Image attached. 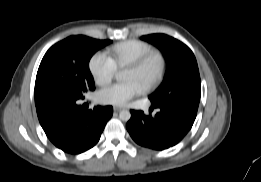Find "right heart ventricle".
<instances>
[{
    "instance_id": "right-heart-ventricle-1",
    "label": "right heart ventricle",
    "mask_w": 261,
    "mask_h": 182,
    "mask_svg": "<svg viewBox=\"0 0 261 182\" xmlns=\"http://www.w3.org/2000/svg\"><path fill=\"white\" fill-rule=\"evenodd\" d=\"M152 50L153 47L146 42L127 40L113 45L109 51V58L116 69H123Z\"/></svg>"
}]
</instances>
